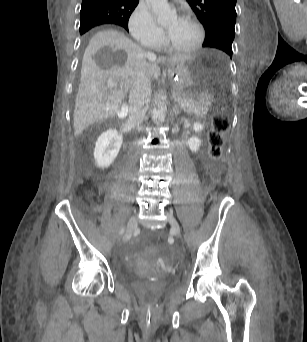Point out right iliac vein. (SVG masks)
<instances>
[{"instance_id": "right-iliac-vein-1", "label": "right iliac vein", "mask_w": 307, "mask_h": 342, "mask_svg": "<svg viewBox=\"0 0 307 342\" xmlns=\"http://www.w3.org/2000/svg\"><path fill=\"white\" fill-rule=\"evenodd\" d=\"M138 223H137V218L135 215H132L128 221L127 229H126V234L124 236V241H127L130 239L132 236L134 230L137 228Z\"/></svg>"}]
</instances>
